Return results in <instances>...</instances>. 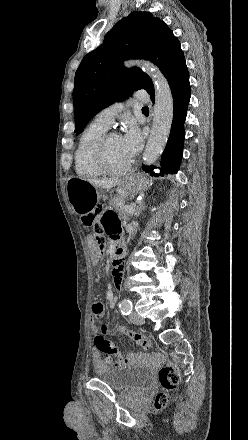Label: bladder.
<instances>
[{
  "instance_id": "1",
  "label": "bladder",
  "mask_w": 248,
  "mask_h": 440,
  "mask_svg": "<svg viewBox=\"0 0 248 440\" xmlns=\"http://www.w3.org/2000/svg\"><path fill=\"white\" fill-rule=\"evenodd\" d=\"M98 378L115 390H145L153 383V372L143 366L121 364L97 373Z\"/></svg>"
}]
</instances>
